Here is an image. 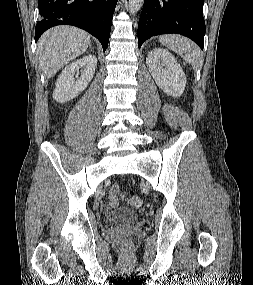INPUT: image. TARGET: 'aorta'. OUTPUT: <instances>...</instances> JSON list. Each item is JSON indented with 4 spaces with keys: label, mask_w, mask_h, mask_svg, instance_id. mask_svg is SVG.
<instances>
[{
    "label": "aorta",
    "mask_w": 253,
    "mask_h": 285,
    "mask_svg": "<svg viewBox=\"0 0 253 285\" xmlns=\"http://www.w3.org/2000/svg\"><path fill=\"white\" fill-rule=\"evenodd\" d=\"M144 0H129L128 1V10L129 13L135 14L142 8Z\"/></svg>",
    "instance_id": "aorta-1"
}]
</instances>
